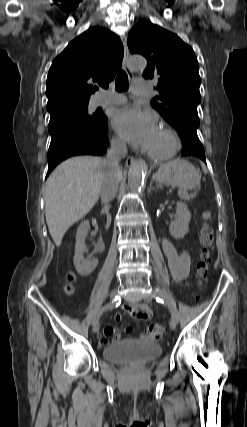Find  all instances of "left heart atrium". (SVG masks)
<instances>
[{
	"label": "left heart atrium",
	"instance_id": "obj_1",
	"mask_svg": "<svg viewBox=\"0 0 247 427\" xmlns=\"http://www.w3.org/2000/svg\"><path fill=\"white\" fill-rule=\"evenodd\" d=\"M114 130L135 147L148 149L157 130L154 116L138 108L117 111L112 120Z\"/></svg>",
	"mask_w": 247,
	"mask_h": 427
}]
</instances>
